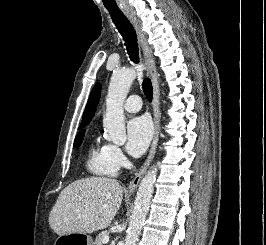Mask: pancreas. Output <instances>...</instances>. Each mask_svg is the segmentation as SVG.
Here are the masks:
<instances>
[{"instance_id":"obj_1","label":"pancreas","mask_w":266,"mask_h":245,"mask_svg":"<svg viewBox=\"0 0 266 245\" xmlns=\"http://www.w3.org/2000/svg\"><path fill=\"white\" fill-rule=\"evenodd\" d=\"M103 237H109V233H107V231H102V233H99L95 239L94 245H105V243H103Z\"/></svg>"}]
</instances>
